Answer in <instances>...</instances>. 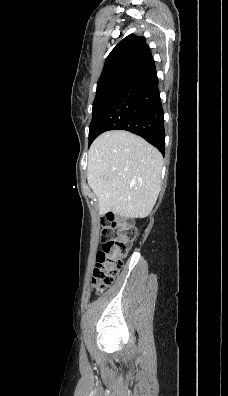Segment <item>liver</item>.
Wrapping results in <instances>:
<instances>
[{
	"label": "liver",
	"instance_id": "obj_1",
	"mask_svg": "<svg viewBox=\"0 0 228 396\" xmlns=\"http://www.w3.org/2000/svg\"><path fill=\"white\" fill-rule=\"evenodd\" d=\"M162 167L161 153L143 138L123 130L101 134L89 148L87 170L99 213L148 216L161 189Z\"/></svg>",
	"mask_w": 228,
	"mask_h": 396
}]
</instances>
